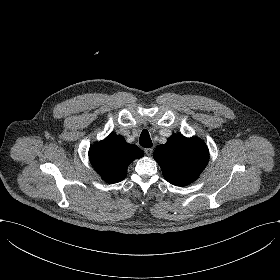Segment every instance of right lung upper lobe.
I'll return each mask as SVG.
<instances>
[{"label": "right lung upper lobe", "mask_w": 280, "mask_h": 280, "mask_svg": "<svg viewBox=\"0 0 280 280\" xmlns=\"http://www.w3.org/2000/svg\"><path fill=\"white\" fill-rule=\"evenodd\" d=\"M143 155L139 147L128 144L122 136L114 133L89 149L91 164L107 183L122 181L127 175L129 164Z\"/></svg>", "instance_id": "obj_1"}]
</instances>
